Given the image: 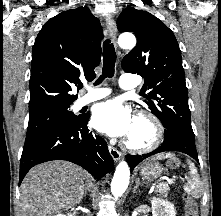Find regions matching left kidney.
<instances>
[{
	"instance_id": "left-kidney-1",
	"label": "left kidney",
	"mask_w": 221,
	"mask_h": 216,
	"mask_svg": "<svg viewBox=\"0 0 221 216\" xmlns=\"http://www.w3.org/2000/svg\"><path fill=\"white\" fill-rule=\"evenodd\" d=\"M151 204L152 216H176L174 205L167 200L154 197Z\"/></svg>"
}]
</instances>
